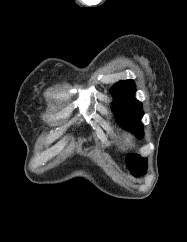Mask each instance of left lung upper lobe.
Wrapping results in <instances>:
<instances>
[{"label": "left lung upper lobe", "instance_id": "1", "mask_svg": "<svg viewBox=\"0 0 187 242\" xmlns=\"http://www.w3.org/2000/svg\"><path fill=\"white\" fill-rule=\"evenodd\" d=\"M114 101L111 104L116 121L127 131L133 133L137 138H143V117L142 103L135 99L136 86L133 80H123L116 83L111 88ZM128 169L134 176L146 173L147 159L137 155L126 157Z\"/></svg>", "mask_w": 187, "mask_h": 242}]
</instances>
